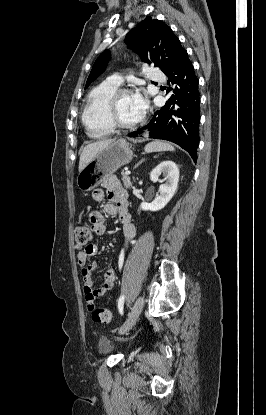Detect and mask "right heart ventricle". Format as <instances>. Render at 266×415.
<instances>
[{"instance_id": "1", "label": "right heart ventricle", "mask_w": 266, "mask_h": 415, "mask_svg": "<svg viewBox=\"0 0 266 415\" xmlns=\"http://www.w3.org/2000/svg\"><path fill=\"white\" fill-rule=\"evenodd\" d=\"M117 89V86L103 82L88 95L82 113V122L90 137L105 138L114 132L115 128L108 117V102Z\"/></svg>"}]
</instances>
